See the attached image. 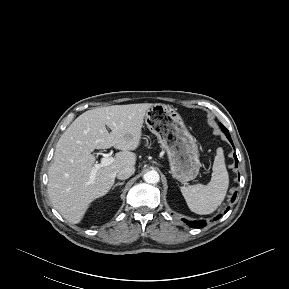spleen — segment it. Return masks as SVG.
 <instances>
[{
  "mask_svg": "<svg viewBox=\"0 0 289 289\" xmlns=\"http://www.w3.org/2000/svg\"><path fill=\"white\" fill-rule=\"evenodd\" d=\"M212 170V177L207 185L197 184L180 187L189 209L196 214L213 213L226 196L229 175L222 148L217 149Z\"/></svg>",
  "mask_w": 289,
  "mask_h": 289,
  "instance_id": "1",
  "label": "spleen"
}]
</instances>
